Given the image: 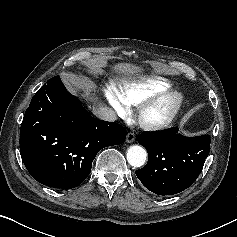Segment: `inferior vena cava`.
I'll return each mask as SVG.
<instances>
[{"label":"inferior vena cava","mask_w":237,"mask_h":237,"mask_svg":"<svg viewBox=\"0 0 237 237\" xmlns=\"http://www.w3.org/2000/svg\"><path fill=\"white\" fill-rule=\"evenodd\" d=\"M93 114L104 121L114 122L117 119L114 110L108 107L95 108Z\"/></svg>","instance_id":"602c4592"}]
</instances>
